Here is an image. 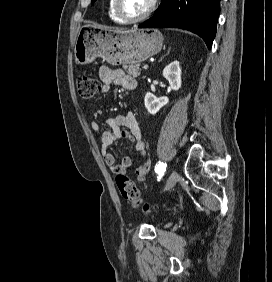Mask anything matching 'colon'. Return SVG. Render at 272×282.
Instances as JSON below:
<instances>
[{
	"mask_svg": "<svg viewBox=\"0 0 272 282\" xmlns=\"http://www.w3.org/2000/svg\"><path fill=\"white\" fill-rule=\"evenodd\" d=\"M102 86L100 81L90 74L80 75L77 79L78 95L86 101L93 99ZM116 184L122 198L131 205L141 207L146 212L153 208L149 203L142 202L136 184L126 174L117 173Z\"/></svg>",
	"mask_w": 272,
	"mask_h": 282,
	"instance_id": "5ec220e1",
	"label": "colon"
}]
</instances>
